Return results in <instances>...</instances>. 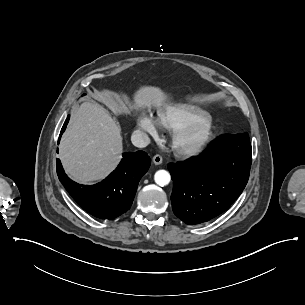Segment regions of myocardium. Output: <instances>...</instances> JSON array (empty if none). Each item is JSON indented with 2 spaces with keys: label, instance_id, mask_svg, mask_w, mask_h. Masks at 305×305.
I'll return each instance as SVG.
<instances>
[{
  "label": "myocardium",
  "instance_id": "myocardium-1",
  "mask_svg": "<svg viewBox=\"0 0 305 305\" xmlns=\"http://www.w3.org/2000/svg\"><path fill=\"white\" fill-rule=\"evenodd\" d=\"M196 130L200 132L198 135L193 134ZM216 132V120L210 115L179 128L173 138V147L180 155L195 154L211 144Z\"/></svg>",
  "mask_w": 305,
  "mask_h": 305
}]
</instances>
